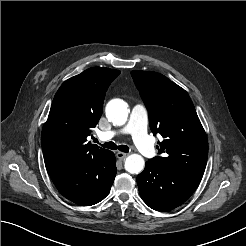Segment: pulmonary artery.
Instances as JSON below:
<instances>
[{
	"label": "pulmonary artery",
	"instance_id": "pulmonary-artery-1",
	"mask_svg": "<svg viewBox=\"0 0 246 246\" xmlns=\"http://www.w3.org/2000/svg\"><path fill=\"white\" fill-rule=\"evenodd\" d=\"M148 113L143 105H135L131 111L128 123L119 131H107L99 134L101 140H110L118 133L131 135L135 145L146 157L155 154L154 146L147 134Z\"/></svg>",
	"mask_w": 246,
	"mask_h": 246
}]
</instances>
